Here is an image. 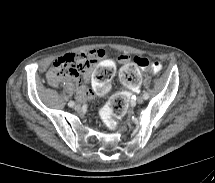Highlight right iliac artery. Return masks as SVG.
I'll return each instance as SVG.
<instances>
[{
  "label": "right iliac artery",
  "instance_id": "right-iliac-artery-1",
  "mask_svg": "<svg viewBox=\"0 0 215 183\" xmlns=\"http://www.w3.org/2000/svg\"><path fill=\"white\" fill-rule=\"evenodd\" d=\"M68 105H69L70 107H73V106L75 105V103H74L73 101H70V102L68 103Z\"/></svg>",
  "mask_w": 215,
  "mask_h": 183
}]
</instances>
